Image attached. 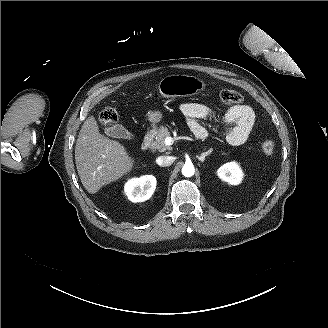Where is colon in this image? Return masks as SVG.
Returning a JSON list of instances; mask_svg holds the SVG:
<instances>
[{
    "label": "colon",
    "instance_id": "colon-1",
    "mask_svg": "<svg viewBox=\"0 0 328 328\" xmlns=\"http://www.w3.org/2000/svg\"><path fill=\"white\" fill-rule=\"evenodd\" d=\"M220 101L223 104H238L242 101V95L232 89H223L219 93ZM118 114L114 107L107 106L100 113L99 119L104 127H109L117 121ZM262 152L265 156L272 155L274 151V142L270 139H266L262 143Z\"/></svg>",
    "mask_w": 328,
    "mask_h": 328
}]
</instances>
